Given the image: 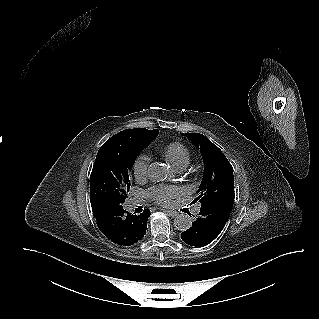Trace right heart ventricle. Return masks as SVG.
<instances>
[{
	"label": "right heart ventricle",
	"mask_w": 319,
	"mask_h": 319,
	"mask_svg": "<svg viewBox=\"0 0 319 319\" xmlns=\"http://www.w3.org/2000/svg\"><path fill=\"white\" fill-rule=\"evenodd\" d=\"M163 153L165 158L178 170L186 168L191 159L189 149L179 142L166 145Z\"/></svg>",
	"instance_id": "e07e8e85"
}]
</instances>
